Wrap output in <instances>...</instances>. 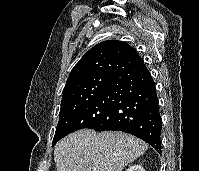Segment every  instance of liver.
<instances>
[{
  "label": "liver",
  "mask_w": 199,
  "mask_h": 171,
  "mask_svg": "<svg viewBox=\"0 0 199 171\" xmlns=\"http://www.w3.org/2000/svg\"><path fill=\"white\" fill-rule=\"evenodd\" d=\"M147 148L127 133L82 129L57 143L54 161L57 171H122Z\"/></svg>",
  "instance_id": "obj_1"
}]
</instances>
